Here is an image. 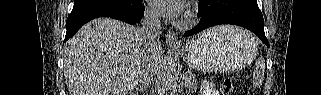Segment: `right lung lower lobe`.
<instances>
[{"instance_id":"obj_1","label":"right lung lower lobe","mask_w":321,"mask_h":95,"mask_svg":"<svg viewBox=\"0 0 321 95\" xmlns=\"http://www.w3.org/2000/svg\"><path fill=\"white\" fill-rule=\"evenodd\" d=\"M143 16L144 7L141 1L136 6L126 10L105 7L72 11L67 18V32L64 42L71 38L85 23L97 17H111L133 25L138 23Z\"/></svg>"}]
</instances>
